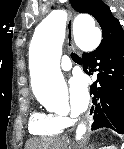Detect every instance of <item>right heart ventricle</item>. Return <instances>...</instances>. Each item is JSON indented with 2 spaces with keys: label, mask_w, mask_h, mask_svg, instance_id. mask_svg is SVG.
<instances>
[{
  "label": "right heart ventricle",
  "mask_w": 124,
  "mask_h": 149,
  "mask_svg": "<svg viewBox=\"0 0 124 149\" xmlns=\"http://www.w3.org/2000/svg\"><path fill=\"white\" fill-rule=\"evenodd\" d=\"M65 124H63L59 116L51 112L36 111L32 113L29 120V132L40 138H52L59 135Z\"/></svg>",
  "instance_id": "1"
}]
</instances>
